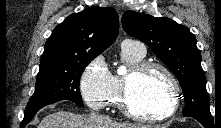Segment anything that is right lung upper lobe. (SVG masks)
<instances>
[{
    "instance_id": "obj_1",
    "label": "right lung upper lobe",
    "mask_w": 221,
    "mask_h": 128,
    "mask_svg": "<svg viewBox=\"0 0 221 128\" xmlns=\"http://www.w3.org/2000/svg\"><path fill=\"white\" fill-rule=\"evenodd\" d=\"M118 31V14L111 7H91L71 14L48 38L40 70L95 58L115 41Z\"/></svg>"
}]
</instances>
